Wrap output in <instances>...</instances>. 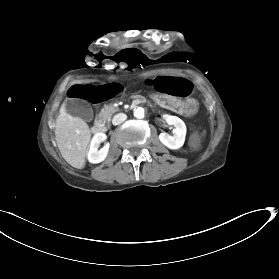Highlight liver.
<instances>
[{
  "label": "liver",
  "instance_id": "liver-1",
  "mask_svg": "<svg viewBox=\"0 0 279 279\" xmlns=\"http://www.w3.org/2000/svg\"><path fill=\"white\" fill-rule=\"evenodd\" d=\"M59 112L55 126L57 146L68 164L81 169L85 164L87 146L91 138L89 126L81 118L68 114L65 102Z\"/></svg>",
  "mask_w": 279,
  "mask_h": 279
}]
</instances>
